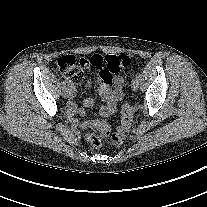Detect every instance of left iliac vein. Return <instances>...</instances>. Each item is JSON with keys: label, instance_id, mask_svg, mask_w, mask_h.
I'll return each mask as SVG.
<instances>
[{"label": "left iliac vein", "instance_id": "1", "mask_svg": "<svg viewBox=\"0 0 207 207\" xmlns=\"http://www.w3.org/2000/svg\"><path fill=\"white\" fill-rule=\"evenodd\" d=\"M131 88L133 91H137L139 88V80L138 79H134L131 83Z\"/></svg>", "mask_w": 207, "mask_h": 207}]
</instances>
